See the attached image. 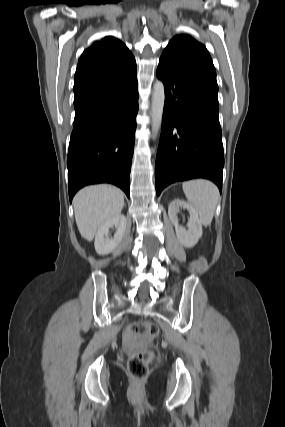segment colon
Masks as SVG:
<instances>
[{
	"mask_svg": "<svg viewBox=\"0 0 285 427\" xmlns=\"http://www.w3.org/2000/svg\"><path fill=\"white\" fill-rule=\"evenodd\" d=\"M158 327L150 321H140L131 324L125 332V341L128 346H134L136 340L147 346L157 336ZM154 352L148 347L135 351L128 360V372L136 381L144 380L148 375V364L153 359Z\"/></svg>",
	"mask_w": 285,
	"mask_h": 427,
	"instance_id": "5ec220e1",
	"label": "colon"
}]
</instances>
